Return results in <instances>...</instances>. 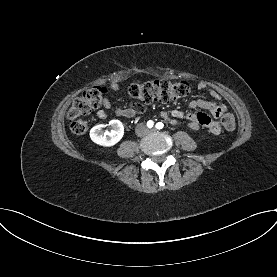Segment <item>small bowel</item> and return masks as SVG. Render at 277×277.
<instances>
[{
	"label": "small bowel",
	"mask_w": 277,
	"mask_h": 277,
	"mask_svg": "<svg viewBox=\"0 0 277 277\" xmlns=\"http://www.w3.org/2000/svg\"><path fill=\"white\" fill-rule=\"evenodd\" d=\"M197 87L199 90L208 92L216 101L192 100L189 103V108L191 110L202 109L208 111L215 119L202 112H187L183 110L162 111L160 116L173 124L184 121L191 129L206 128L212 134H219L221 132V125L218 119L227 111V106L221 101L220 94L207 83L200 82ZM109 90L117 93L120 87L117 83H111ZM103 106L108 110L113 109L111 102L107 98L104 99ZM144 111L145 106L143 104L134 103L127 108H115L114 114L119 117L135 118ZM97 116L101 119H106L108 114L100 109L97 111Z\"/></svg>",
	"instance_id": "1"
}]
</instances>
